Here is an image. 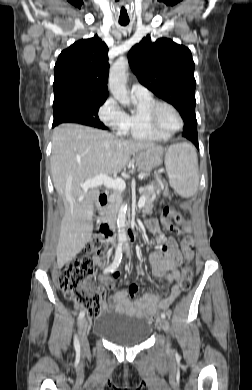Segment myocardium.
Returning <instances> with one entry per match:
<instances>
[{"label":"myocardium","mask_w":252,"mask_h":390,"mask_svg":"<svg viewBox=\"0 0 252 390\" xmlns=\"http://www.w3.org/2000/svg\"><path fill=\"white\" fill-rule=\"evenodd\" d=\"M163 107H167L169 109H171L177 116L178 120H179V125L176 129L174 130H166L164 129L159 121H158V115H159V112L160 110L163 108ZM147 121H148V124L149 126L156 132H159L161 134H165V135H173L175 134L176 132H178L179 130L182 129V127L184 126V120H183V117L181 115V113L179 112V110L172 104L168 103V102H163V101H158L156 102L148 111L147 113Z\"/></svg>","instance_id":"myocardium-1"}]
</instances>
